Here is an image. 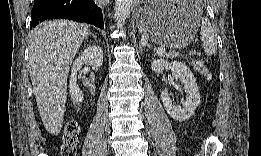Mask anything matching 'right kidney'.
<instances>
[{
    "label": "right kidney",
    "mask_w": 261,
    "mask_h": 156,
    "mask_svg": "<svg viewBox=\"0 0 261 156\" xmlns=\"http://www.w3.org/2000/svg\"><path fill=\"white\" fill-rule=\"evenodd\" d=\"M86 63L96 67L102 65L103 50L100 46L92 45L87 47L73 63L69 81V93L73 103L75 104H79L83 101V93L77 85V72Z\"/></svg>",
    "instance_id": "obj_1"
}]
</instances>
